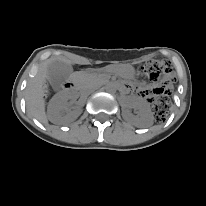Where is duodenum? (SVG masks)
Returning <instances> with one entry per match:
<instances>
[{
  "label": "duodenum",
  "mask_w": 206,
  "mask_h": 206,
  "mask_svg": "<svg viewBox=\"0 0 206 206\" xmlns=\"http://www.w3.org/2000/svg\"><path fill=\"white\" fill-rule=\"evenodd\" d=\"M64 88L66 90H74V89L77 88V84H76V82L73 79H70V80L65 82Z\"/></svg>",
  "instance_id": "1"
}]
</instances>
